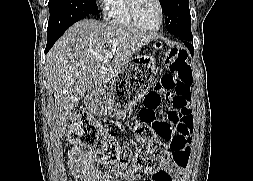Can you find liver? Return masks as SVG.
<instances>
[{"instance_id":"6515ba94","label":"liver","mask_w":253,"mask_h":181,"mask_svg":"<svg viewBox=\"0 0 253 181\" xmlns=\"http://www.w3.org/2000/svg\"><path fill=\"white\" fill-rule=\"evenodd\" d=\"M157 34L84 19L72 25L46 55L54 92V130L59 137L86 91L104 87ZM112 53V58L106 55Z\"/></svg>"}]
</instances>
